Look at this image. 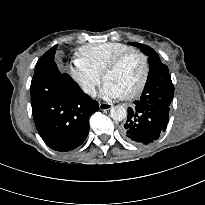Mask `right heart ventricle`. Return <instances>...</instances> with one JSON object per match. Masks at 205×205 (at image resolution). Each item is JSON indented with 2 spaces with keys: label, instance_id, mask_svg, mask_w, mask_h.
<instances>
[{
  "label": "right heart ventricle",
  "instance_id": "obj_1",
  "mask_svg": "<svg viewBox=\"0 0 205 205\" xmlns=\"http://www.w3.org/2000/svg\"><path fill=\"white\" fill-rule=\"evenodd\" d=\"M131 49L120 42L88 44L78 49V59L96 73L102 75L106 65L118 54Z\"/></svg>",
  "mask_w": 205,
  "mask_h": 205
}]
</instances>
